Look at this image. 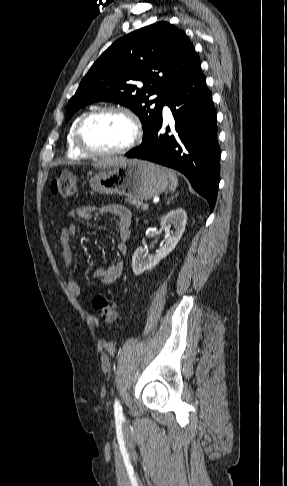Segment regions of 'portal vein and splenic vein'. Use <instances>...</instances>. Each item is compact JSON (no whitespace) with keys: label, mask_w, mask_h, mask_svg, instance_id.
Returning a JSON list of instances; mask_svg holds the SVG:
<instances>
[{"label":"portal vein and splenic vein","mask_w":287,"mask_h":486,"mask_svg":"<svg viewBox=\"0 0 287 486\" xmlns=\"http://www.w3.org/2000/svg\"><path fill=\"white\" fill-rule=\"evenodd\" d=\"M148 209H149L148 204H143V205H142V210H143V211H147Z\"/></svg>","instance_id":"portal-vein-and-splenic-vein-1"}]
</instances>
